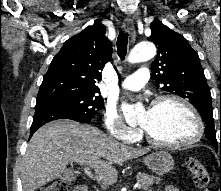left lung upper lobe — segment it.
Masks as SVG:
<instances>
[{
	"label": "left lung upper lobe",
	"mask_w": 221,
	"mask_h": 191,
	"mask_svg": "<svg viewBox=\"0 0 221 191\" xmlns=\"http://www.w3.org/2000/svg\"><path fill=\"white\" fill-rule=\"evenodd\" d=\"M150 28L152 33L147 39L158 46L151 64L155 81L163 84L161 90L186 98L197 108L206 123L205 136L217 149L212 98L197 52L182 35L158 19Z\"/></svg>",
	"instance_id": "1"
}]
</instances>
